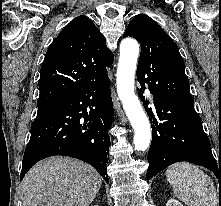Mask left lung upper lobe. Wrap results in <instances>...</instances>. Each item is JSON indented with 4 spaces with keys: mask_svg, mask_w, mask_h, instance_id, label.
Returning a JSON list of instances; mask_svg holds the SVG:
<instances>
[{
    "mask_svg": "<svg viewBox=\"0 0 221 206\" xmlns=\"http://www.w3.org/2000/svg\"><path fill=\"white\" fill-rule=\"evenodd\" d=\"M123 36L134 37L141 44L136 72L141 86L146 83L153 95L171 104L194 107L184 61L171 37L144 14L131 20Z\"/></svg>",
    "mask_w": 221,
    "mask_h": 206,
    "instance_id": "1",
    "label": "left lung upper lobe"
}]
</instances>
